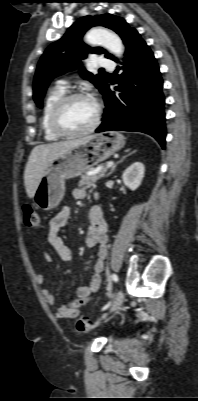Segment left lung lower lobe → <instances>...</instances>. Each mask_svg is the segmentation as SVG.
Wrapping results in <instances>:
<instances>
[{"instance_id": "obj_1", "label": "left lung lower lobe", "mask_w": 198, "mask_h": 401, "mask_svg": "<svg viewBox=\"0 0 198 401\" xmlns=\"http://www.w3.org/2000/svg\"><path fill=\"white\" fill-rule=\"evenodd\" d=\"M124 72L117 76L116 91L107 83L102 94L105 112L96 132L139 131L153 136L165 148L163 82L150 48L134 29L126 40ZM115 61H117L115 59Z\"/></svg>"}]
</instances>
